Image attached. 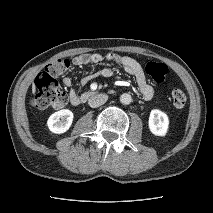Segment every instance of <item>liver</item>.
Segmentation results:
<instances>
[{"mask_svg": "<svg viewBox=\"0 0 213 213\" xmlns=\"http://www.w3.org/2000/svg\"><path fill=\"white\" fill-rule=\"evenodd\" d=\"M35 92H36V88H35V86L33 85V86H32V93L35 94Z\"/></svg>", "mask_w": 213, "mask_h": 213, "instance_id": "liver-1", "label": "liver"}]
</instances>
